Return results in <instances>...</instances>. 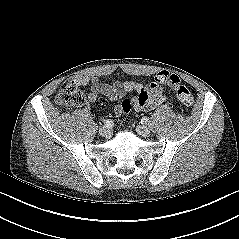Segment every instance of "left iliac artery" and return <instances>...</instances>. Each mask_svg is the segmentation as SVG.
Listing matches in <instances>:
<instances>
[{
	"instance_id": "44dca946",
	"label": "left iliac artery",
	"mask_w": 239,
	"mask_h": 239,
	"mask_svg": "<svg viewBox=\"0 0 239 239\" xmlns=\"http://www.w3.org/2000/svg\"><path fill=\"white\" fill-rule=\"evenodd\" d=\"M149 122V118H147V117H143L142 119H141V123L142 124H147Z\"/></svg>"
}]
</instances>
